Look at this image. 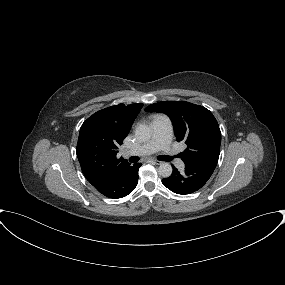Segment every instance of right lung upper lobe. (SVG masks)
Wrapping results in <instances>:
<instances>
[{"label":"right lung upper lobe","mask_w":285,"mask_h":285,"mask_svg":"<svg viewBox=\"0 0 285 285\" xmlns=\"http://www.w3.org/2000/svg\"><path fill=\"white\" fill-rule=\"evenodd\" d=\"M142 106L114 105L94 113L82 124L76 154L83 174L93 186L130 166L116 154Z\"/></svg>","instance_id":"cb5924a9"}]
</instances>
